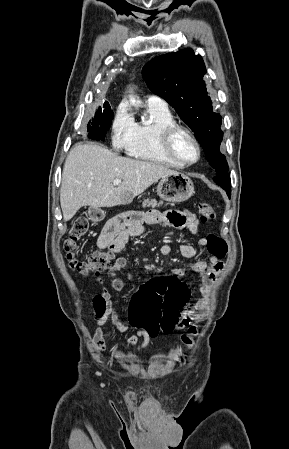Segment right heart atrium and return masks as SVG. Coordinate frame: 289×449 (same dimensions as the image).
I'll list each match as a JSON object with an SVG mask.
<instances>
[{
    "label": "right heart atrium",
    "mask_w": 289,
    "mask_h": 449,
    "mask_svg": "<svg viewBox=\"0 0 289 449\" xmlns=\"http://www.w3.org/2000/svg\"><path fill=\"white\" fill-rule=\"evenodd\" d=\"M111 130L115 147L129 150L133 146L136 139V122L124 104L116 109Z\"/></svg>",
    "instance_id": "1"
}]
</instances>
